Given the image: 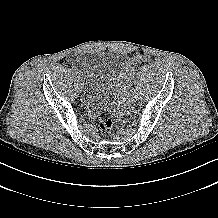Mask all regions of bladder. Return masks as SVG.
<instances>
[{
  "label": "bladder",
  "mask_w": 218,
  "mask_h": 218,
  "mask_svg": "<svg viewBox=\"0 0 218 218\" xmlns=\"http://www.w3.org/2000/svg\"><path fill=\"white\" fill-rule=\"evenodd\" d=\"M84 72V99L94 111L108 110L114 101V91L129 67L114 54L81 55L78 59Z\"/></svg>",
  "instance_id": "bladder-1"
}]
</instances>
